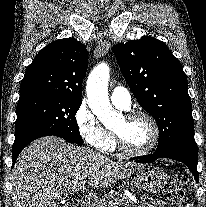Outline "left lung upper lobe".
<instances>
[{"label":"left lung upper lobe","mask_w":206,"mask_h":207,"mask_svg":"<svg viewBox=\"0 0 206 207\" xmlns=\"http://www.w3.org/2000/svg\"><path fill=\"white\" fill-rule=\"evenodd\" d=\"M113 52L134 96L158 124L155 153H197L187 77L166 44L143 36L116 44Z\"/></svg>","instance_id":"left-lung-upper-lobe-1"}]
</instances>
